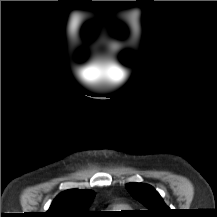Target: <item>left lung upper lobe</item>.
Listing matches in <instances>:
<instances>
[{
	"label": "left lung upper lobe",
	"mask_w": 217,
	"mask_h": 217,
	"mask_svg": "<svg viewBox=\"0 0 217 217\" xmlns=\"http://www.w3.org/2000/svg\"><path fill=\"white\" fill-rule=\"evenodd\" d=\"M126 189L136 200L148 208L145 213L149 217H166L171 212V209L152 186L145 183H128Z\"/></svg>",
	"instance_id": "left-lung-upper-lobe-1"
}]
</instances>
